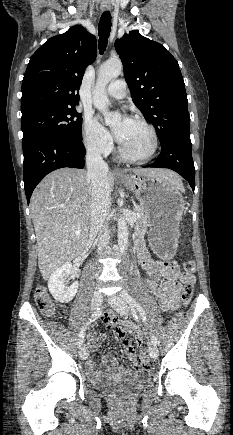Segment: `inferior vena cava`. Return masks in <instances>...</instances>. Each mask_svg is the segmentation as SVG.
<instances>
[{"mask_svg": "<svg viewBox=\"0 0 233 435\" xmlns=\"http://www.w3.org/2000/svg\"><path fill=\"white\" fill-rule=\"evenodd\" d=\"M86 163L87 178L91 181L92 190L90 236L102 233L98 243V251H102L110 239L106 223L111 206V190L107 179L109 168L100 152L95 150L87 152Z\"/></svg>", "mask_w": 233, "mask_h": 435, "instance_id": "obj_1", "label": "inferior vena cava"}]
</instances>
